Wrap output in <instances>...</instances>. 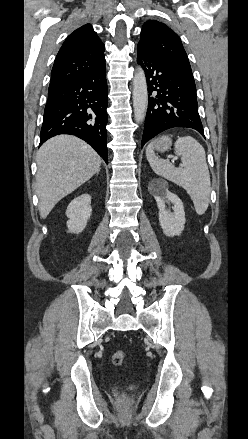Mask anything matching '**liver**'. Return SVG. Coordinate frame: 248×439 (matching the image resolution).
<instances>
[{
  "instance_id": "obj_1",
  "label": "liver",
  "mask_w": 248,
  "mask_h": 439,
  "mask_svg": "<svg viewBox=\"0 0 248 439\" xmlns=\"http://www.w3.org/2000/svg\"><path fill=\"white\" fill-rule=\"evenodd\" d=\"M36 162L35 189L45 219L62 198L100 171L101 157L83 140L59 135L40 147Z\"/></svg>"
}]
</instances>
